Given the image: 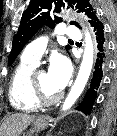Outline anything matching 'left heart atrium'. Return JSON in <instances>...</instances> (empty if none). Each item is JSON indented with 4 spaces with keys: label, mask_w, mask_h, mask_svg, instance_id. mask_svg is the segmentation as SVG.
<instances>
[{
    "label": "left heart atrium",
    "mask_w": 117,
    "mask_h": 136,
    "mask_svg": "<svg viewBox=\"0 0 117 136\" xmlns=\"http://www.w3.org/2000/svg\"><path fill=\"white\" fill-rule=\"evenodd\" d=\"M71 74V66L68 59L62 55L54 56L47 72L51 84L61 91L67 84Z\"/></svg>",
    "instance_id": "39dd6f15"
}]
</instances>
